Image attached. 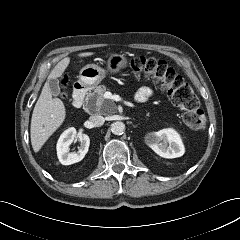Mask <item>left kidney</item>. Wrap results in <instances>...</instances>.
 Instances as JSON below:
<instances>
[{"mask_svg":"<svg viewBox=\"0 0 240 240\" xmlns=\"http://www.w3.org/2000/svg\"><path fill=\"white\" fill-rule=\"evenodd\" d=\"M146 143L156 154L164 158L181 157L185 152L179 134L171 128L149 133Z\"/></svg>","mask_w":240,"mask_h":240,"instance_id":"5707ae66","label":"left kidney"}]
</instances>
